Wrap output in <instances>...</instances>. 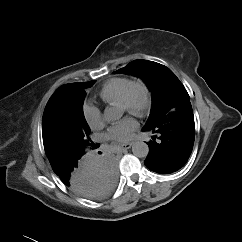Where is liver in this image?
<instances>
[{"label":"liver","mask_w":242,"mask_h":242,"mask_svg":"<svg viewBox=\"0 0 242 242\" xmlns=\"http://www.w3.org/2000/svg\"><path fill=\"white\" fill-rule=\"evenodd\" d=\"M101 184L96 180H92L89 182L88 184V191L91 192V193H96L98 190L101 189ZM76 192H78V190H75ZM79 193V192H78Z\"/></svg>","instance_id":"6515ba94"}]
</instances>
